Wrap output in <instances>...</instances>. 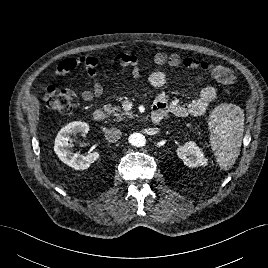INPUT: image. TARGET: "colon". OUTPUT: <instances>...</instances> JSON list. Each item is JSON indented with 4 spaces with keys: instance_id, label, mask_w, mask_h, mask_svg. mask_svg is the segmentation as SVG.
<instances>
[{
    "instance_id": "1",
    "label": "colon",
    "mask_w": 268,
    "mask_h": 268,
    "mask_svg": "<svg viewBox=\"0 0 268 268\" xmlns=\"http://www.w3.org/2000/svg\"><path fill=\"white\" fill-rule=\"evenodd\" d=\"M156 63L160 66L177 67L183 65L189 70H203L223 85H231L235 81V74L231 69L191 57L181 58L176 54L170 56L159 54L156 57ZM45 99L48 108L61 113H68L73 107L75 92L72 89H62L57 93L46 94Z\"/></svg>"
}]
</instances>
